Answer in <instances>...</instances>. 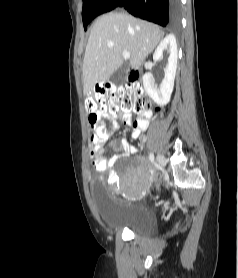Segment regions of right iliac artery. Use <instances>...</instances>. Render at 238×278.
<instances>
[{"label":"right iliac artery","instance_id":"obj_1","mask_svg":"<svg viewBox=\"0 0 238 278\" xmlns=\"http://www.w3.org/2000/svg\"><path fill=\"white\" fill-rule=\"evenodd\" d=\"M149 160H150L151 162L154 161V154H153V153H150V154H149Z\"/></svg>","mask_w":238,"mask_h":278}]
</instances>
